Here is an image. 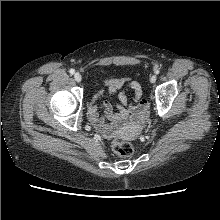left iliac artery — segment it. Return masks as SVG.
I'll use <instances>...</instances> for the list:
<instances>
[{"instance_id": "obj_1", "label": "left iliac artery", "mask_w": 220, "mask_h": 220, "mask_svg": "<svg viewBox=\"0 0 220 220\" xmlns=\"http://www.w3.org/2000/svg\"><path fill=\"white\" fill-rule=\"evenodd\" d=\"M158 73H159V70L156 71V74H158Z\"/></svg>"}]
</instances>
